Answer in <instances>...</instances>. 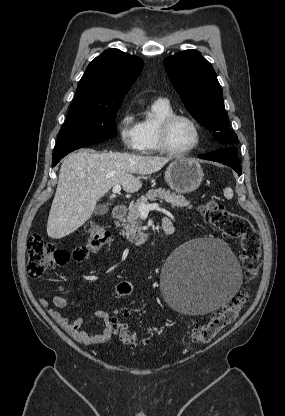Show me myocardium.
Listing matches in <instances>:
<instances>
[{
  "mask_svg": "<svg viewBox=\"0 0 285 416\" xmlns=\"http://www.w3.org/2000/svg\"><path fill=\"white\" fill-rule=\"evenodd\" d=\"M177 119H184L188 121L194 128L195 131V143L193 146H191L189 149L183 150V151H177L174 150L168 140V134L171 125L177 120ZM157 135H158V143L159 147L162 152H164L167 155L174 156V157H184L188 156L192 153H194L201 144V129L198 124V122L191 117L188 114L183 113H172L163 119H161L158 123L157 127Z\"/></svg>",
  "mask_w": 285,
  "mask_h": 416,
  "instance_id": "myocardium-1",
  "label": "myocardium"
}]
</instances>
